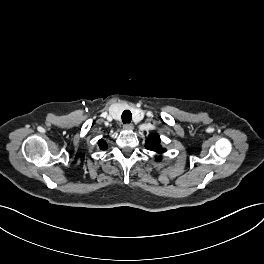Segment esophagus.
I'll return each instance as SVG.
<instances>
[{"label": "esophagus", "instance_id": "1", "mask_svg": "<svg viewBox=\"0 0 264 264\" xmlns=\"http://www.w3.org/2000/svg\"><path fill=\"white\" fill-rule=\"evenodd\" d=\"M133 128H134V125L133 124H125L124 125V129H126V130H133Z\"/></svg>", "mask_w": 264, "mask_h": 264}]
</instances>
